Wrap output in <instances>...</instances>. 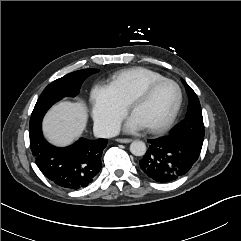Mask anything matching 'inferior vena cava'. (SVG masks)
I'll use <instances>...</instances> for the list:
<instances>
[{
  "label": "inferior vena cava",
  "instance_id": "602c4592",
  "mask_svg": "<svg viewBox=\"0 0 241 241\" xmlns=\"http://www.w3.org/2000/svg\"><path fill=\"white\" fill-rule=\"evenodd\" d=\"M94 135L97 138H111L119 134V124L95 123L93 127Z\"/></svg>",
  "mask_w": 241,
  "mask_h": 241
}]
</instances>
